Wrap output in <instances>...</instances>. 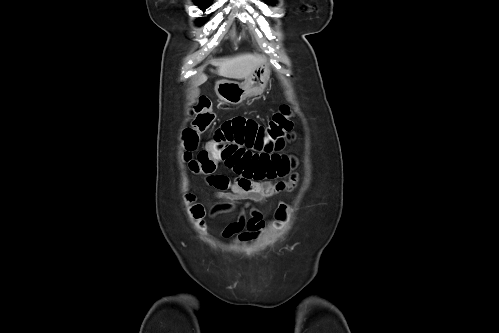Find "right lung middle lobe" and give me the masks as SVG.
Here are the masks:
<instances>
[{
    "instance_id": "1",
    "label": "right lung middle lobe",
    "mask_w": 499,
    "mask_h": 333,
    "mask_svg": "<svg viewBox=\"0 0 499 333\" xmlns=\"http://www.w3.org/2000/svg\"><path fill=\"white\" fill-rule=\"evenodd\" d=\"M197 3H198V4L200 5V7H202V8H207V7H208V5L206 4V2H197ZM201 21H205V19H201V20H200V22H201Z\"/></svg>"
}]
</instances>
